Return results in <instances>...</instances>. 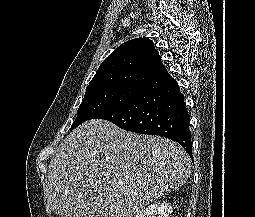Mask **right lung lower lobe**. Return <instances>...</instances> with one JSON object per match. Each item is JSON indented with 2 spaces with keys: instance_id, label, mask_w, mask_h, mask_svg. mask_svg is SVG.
Wrapping results in <instances>:
<instances>
[{
  "instance_id": "1",
  "label": "right lung lower lobe",
  "mask_w": 255,
  "mask_h": 217,
  "mask_svg": "<svg viewBox=\"0 0 255 217\" xmlns=\"http://www.w3.org/2000/svg\"><path fill=\"white\" fill-rule=\"evenodd\" d=\"M92 119L108 120L127 131L167 137L178 142L192 156L184 95L169 74L147 85L126 103Z\"/></svg>"
}]
</instances>
